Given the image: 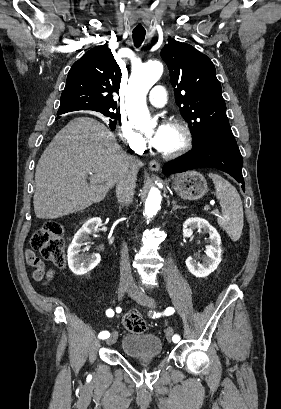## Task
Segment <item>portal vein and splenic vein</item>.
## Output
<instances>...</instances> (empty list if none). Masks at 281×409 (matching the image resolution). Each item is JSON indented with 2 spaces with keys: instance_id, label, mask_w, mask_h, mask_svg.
Returning <instances> with one entry per match:
<instances>
[{
  "instance_id": "1",
  "label": "portal vein and splenic vein",
  "mask_w": 281,
  "mask_h": 409,
  "mask_svg": "<svg viewBox=\"0 0 281 409\" xmlns=\"http://www.w3.org/2000/svg\"><path fill=\"white\" fill-rule=\"evenodd\" d=\"M99 183H100V184H105V183H106V178H105V177H100V178H99ZM213 213H214V214H218V213H219V210H218V209H214V210H213Z\"/></svg>"
}]
</instances>
